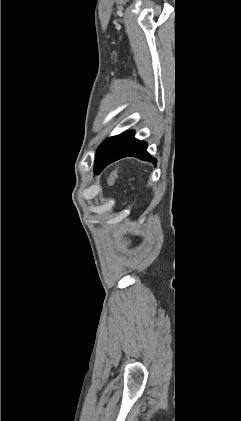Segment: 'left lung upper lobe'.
<instances>
[{
	"instance_id": "1",
	"label": "left lung upper lobe",
	"mask_w": 241,
	"mask_h": 421,
	"mask_svg": "<svg viewBox=\"0 0 241 421\" xmlns=\"http://www.w3.org/2000/svg\"><path fill=\"white\" fill-rule=\"evenodd\" d=\"M107 141H108V140L104 141V142L100 145V147L98 148L97 155H96V160L99 158V156H100V155H101V153L103 152L104 147H105V145H106Z\"/></svg>"
}]
</instances>
